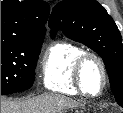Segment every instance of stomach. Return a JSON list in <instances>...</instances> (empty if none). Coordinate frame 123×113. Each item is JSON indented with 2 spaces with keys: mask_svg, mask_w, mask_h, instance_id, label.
<instances>
[{
  "mask_svg": "<svg viewBox=\"0 0 123 113\" xmlns=\"http://www.w3.org/2000/svg\"><path fill=\"white\" fill-rule=\"evenodd\" d=\"M75 113H83V112L76 110Z\"/></svg>",
  "mask_w": 123,
  "mask_h": 113,
  "instance_id": "1",
  "label": "stomach"
}]
</instances>
